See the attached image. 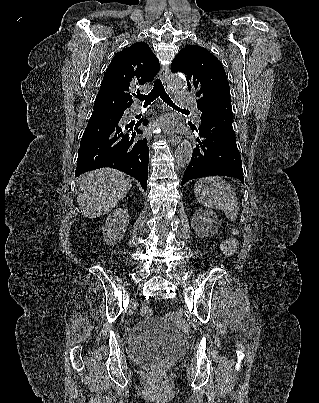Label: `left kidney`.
<instances>
[{
	"label": "left kidney",
	"mask_w": 319,
	"mask_h": 403,
	"mask_svg": "<svg viewBox=\"0 0 319 403\" xmlns=\"http://www.w3.org/2000/svg\"><path fill=\"white\" fill-rule=\"evenodd\" d=\"M195 216L197 217V220L200 222L202 227L205 226L209 228L211 227V224L214 223L215 224L214 229H211L210 231L213 233L217 232L219 221L216 214L213 211L199 209L196 211Z\"/></svg>",
	"instance_id": "1"
}]
</instances>
